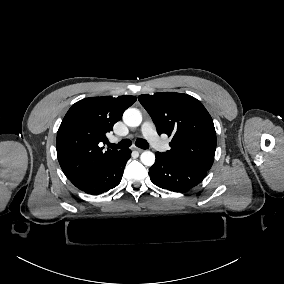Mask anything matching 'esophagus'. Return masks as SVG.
<instances>
[{
	"label": "esophagus",
	"mask_w": 284,
	"mask_h": 284,
	"mask_svg": "<svg viewBox=\"0 0 284 284\" xmlns=\"http://www.w3.org/2000/svg\"><path fill=\"white\" fill-rule=\"evenodd\" d=\"M132 149L138 151L139 153L143 152V149L138 148L137 146H132Z\"/></svg>",
	"instance_id": "1"
}]
</instances>
